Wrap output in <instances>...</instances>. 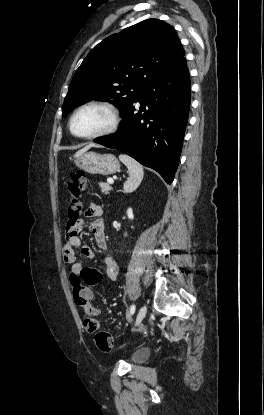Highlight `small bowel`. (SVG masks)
<instances>
[{
    "instance_id": "obj_1",
    "label": "small bowel",
    "mask_w": 264,
    "mask_h": 415,
    "mask_svg": "<svg viewBox=\"0 0 264 415\" xmlns=\"http://www.w3.org/2000/svg\"><path fill=\"white\" fill-rule=\"evenodd\" d=\"M102 208L98 204H92L86 211L85 216L87 217H98L96 220L90 223L89 229L94 237L97 247L100 250H106L107 240L104 232V220L101 218ZM84 226V220H78L76 227L77 230H81ZM75 249H79L82 255L86 258L92 259L94 257L93 250L87 246L82 245L81 240L76 235H67L66 243L62 249V257L65 263L69 264L70 274L79 275L84 267L82 261L76 260ZM105 271L109 280H116L119 272V267L116 260L110 256H106L103 259ZM91 293V290L87 288Z\"/></svg>"
}]
</instances>
